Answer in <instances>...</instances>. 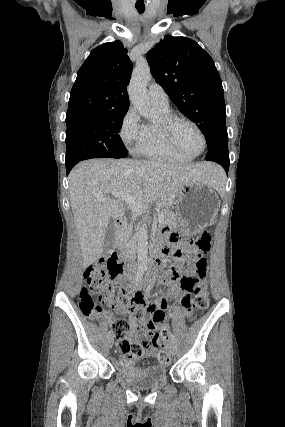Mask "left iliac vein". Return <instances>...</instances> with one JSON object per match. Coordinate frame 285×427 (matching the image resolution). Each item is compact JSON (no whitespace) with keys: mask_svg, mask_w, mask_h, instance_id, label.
<instances>
[{"mask_svg":"<svg viewBox=\"0 0 285 427\" xmlns=\"http://www.w3.org/2000/svg\"><path fill=\"white\" fill-rule=\"evenodd\" d=\"M177 351H178L177 345L175 343L171 342L170 343V353H171V355H173V356L176 355Z\"/></svg>","mask_w":285,"mask_h":427,"instance_id":"4c4485c4","label":"left iliac vein"}]
</instances>
